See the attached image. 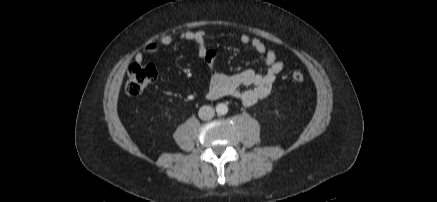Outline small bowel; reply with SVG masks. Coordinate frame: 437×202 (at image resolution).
Returning a JSON list of instances; mask_svg holds the SVG:
<instances>
[{
    "label": "small bowel",
    "mask_w": 437,
    "mask_h": 202,
    "mask_svg": "<svg viewBox=\"0 0 437 202\" xmlns=\"http://www.w3.org/2000/svg\"><path fill=\"white\" fill-rule=\"evenodd\" d=\"M206 38L207 33L202 30L184 31L178 35H164L138 52L135 60L141 63L146 56L156 53L160 46H170L178 41L193 42L197 47L199 57L207 63L211 70L207 92L209 99L234 97L240 100L243 105L252 106L269 95L277 76L284 68L283 62L277 59L276 51L273 48L267 47L259 38L242 34L240 36L241 43L251 46L263 57L266 71L258 73L252 69H246L236 74L226 75L216 70L217 55L215 51L207 48Z\"/></svg>",
    "instance_id": "obj_1"
}]
</instances>
